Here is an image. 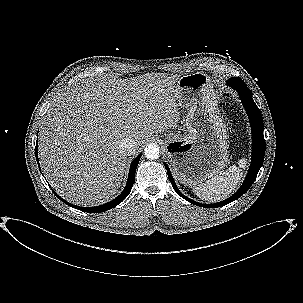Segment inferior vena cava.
<instances>
[{
	"label": "inferior vena cava",
	"mask_w": 303,
	"mask_h": 303,
	"mask_svg": "<svg viewBox=\"0 0 303 303\" xmlns=\"http://www.w3.org/2000/svg\"><path fill=\"white\" fill-rule=\"evenodd\" d=\"M137 143L132 138H125L120 143V150L125 155H131L135 151Z\"/></svg>",
	"instance_id": "obj_1"
}]
</instances>
